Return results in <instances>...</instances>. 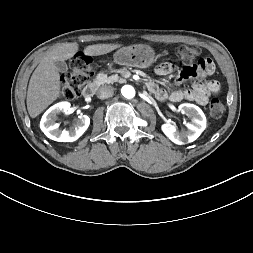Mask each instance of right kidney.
Returning a JSON list of instances; mask_svg holds the SVG:
<instances>
[{
  "label": "right kidney",
  "mask_w": 253,
  "mask_h": 253,
  "mask_svg": "<svg viewBox=\"0 0 253 253\" xmlns=\"http://www.w3.org/2000/svg\"><path fill=\"white\" fill-rule=\"evenodd\" d=\"M70 103L60 102L50 107L43 115L40 128L44 134L58 142L76 141L87 130L90 124V118L87 115H79L75 123L69 129L61 130L56 123L57 115L61 112L68 114L70 112Z\"/></svg>",
  "instance_id": "ca27d5eb"
}]
</instances>
